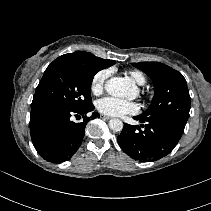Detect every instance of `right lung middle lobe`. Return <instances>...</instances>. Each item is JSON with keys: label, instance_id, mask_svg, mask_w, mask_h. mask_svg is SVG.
I'll return each mask as SVG.
<instances>
[{"label": "right lung middle lobe", "instance_id": "obj_1", "mask_svg": "<svg viewBox=\"0 0 211 211\" xmlns=\"http://www.w3.org/2000/svg\"><path fill=\"white\" fill-rule=\"evenodd\" d=\"M101 69L95 63L55 59L37 86L31 110L57 108L74 111L87 108L92 104L93 77Z\"/></svg>", "mask_w": 211, "mask_h": 211}]
</instances>
